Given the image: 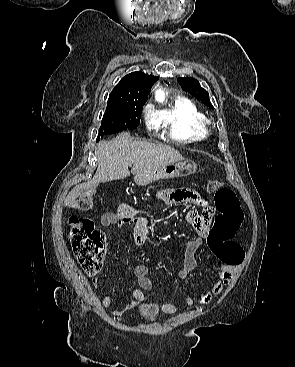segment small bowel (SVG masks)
Listing matches in <instances>:
<instances>
[{
  "instance_id": "obj_1",
  "label": "small bowel",
  "mask_w": 295,
  "mask_h": 367,
  "mask_svg": "<svg viewBox=\"0 0 295 367\" xmlns=\"http://www.w3.org/2000/svg\"><path fill=\"white\" fill-rule=\"evenodd\" d=\"M159 197L167 203H196L205 207L201 213L200 208H182L181 214L184 215L185 221L189 224L195 232V236L191 238L186 246L184 252V262L182 267L178 271V276L181 279H185L195 270L197 267L196 253L202 241L208 239L211 230V221L214 216V209L203 201L199 194L188 188H179L173 190L163 191ZM135 208L129 204H122L115 212H106L101 217V224L105 227L108 226H122L125 224H133L132 240L135 246H142L147 232L150 229L151 222L148 218L135 216ZM201 213V214H200ZM211 248V247H210ZM212 252L218 259L214 273L216 280L210 284L211 291L203 292L195 295H187L182 298L185 307H191L196 302L201 304H209L213 295L220 294L223 289L229 285L233 275L237 271L238 265L228 264L223 261L219 255L212 249ZM149 268L146 264H138L134 268V276L136 278L139 288H135L132 291L134 300L130 301L122 308L116 309L112 312L114 317H120L124 312L136 307L139 303L146 301L145 295L142 290L149 291L153 288V282L148 276ZM95 287L99 285L97 278L93 279ZM102 306L108 308L112 304L110 296H104ZM161 310L166 313H174L177 311V307L171 303H164L160 305Z\"/></svg>"
}]
</instances>
